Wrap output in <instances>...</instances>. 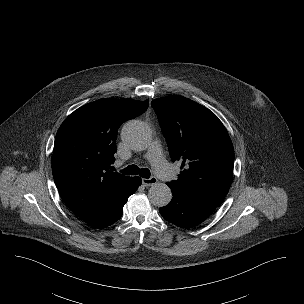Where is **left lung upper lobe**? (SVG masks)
I'll return each instance as SVG.
<instances>
[{
  "instance_id": "5c2ea615",
  "label": "left lung upper lobe",
  "mask_w": 304,
  "mask_h": 304,
  "mask_svg": "<svg viewBox=\"0 0 304 304\" xmlns=\"http://www.w3.org/2000/svg\"><path fill=\"white\" fill-rule=\"evenodd\" d=\"M173 161L182 162L173 189L219 206L233 177L234 149L218 117L206 107L179 95L152 101Z\"/></svg>"
}]
</instances>
